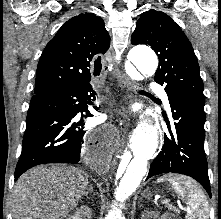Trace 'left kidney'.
<instances>
[{
	"instance_id": "1",
	"label": "left kidney",
	"mask_w": 221,
	"mask_h": 219,
	"mask_svg": "<svg viewBox=\"0 0 221 219\" xmlns=\"http://www.w3.org/2000/svg\"><path fill=\"white\" fill-rule=\"evenodd\" d=\"M143 217H145V216H143ZM146 217L150 218V219H156L157 216L154 213H151L150 215H147ZM159 219H170V218L168 217V214H163L161 216V218H159Z\"/></svg>"
}]
</instances>
